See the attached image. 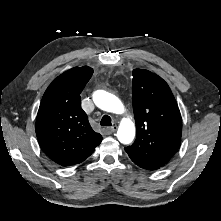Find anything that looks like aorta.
Wrapping results in <instances>:
<instances>
[{
  "mask_svg": "<svg viewBox=\"0 0 221 221\" xmlns=\"http://www.w3.org/2000/svg\"><path fill=\"white\" fill-rule=\"evenodd\" d=\"M95 105L106 112L114 114L124 113V106L115 95L104 90H97L93 94ZM135 137V124L129 118H124L118 128L117 138L122 144H130Z\"/></svg>",
  "mask_w": 221,
  "mask_h": 221,
  "instance_id": "1",
  "label": "aorta"
}]
</instances>
